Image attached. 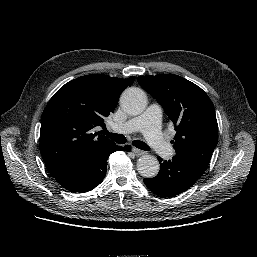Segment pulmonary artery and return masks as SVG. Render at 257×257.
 I'll use <instances>...</instances> for the list:
<instances>
[{
	"mask_svg": "<svg viewBox=\"0 0 257 257\" xmlns=\"http://www.w3.org/2000/svg\"><path fill=\"white\" fill-rule=\"evenodd\" d=\"M160 119L161 107L158 104H152L140 116L124 123H113L112 128L120 133L141 131L157 155L170 158L173 155V149L164 138Z\"/></svg>",
	"mask_w": 257,
	"mask_h": 257,
	"instance_id": "obj_1",
	"label": "pulmonary artery"
}]
</instances>
